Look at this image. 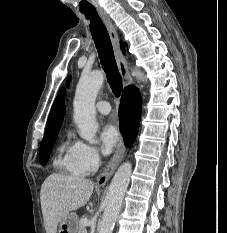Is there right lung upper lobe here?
<instances>
[{
  "label": "right lung upper lobe",
  "mask_w": 227,
  "mask_h": 233,
  "mask_svg": "<svg viewBox=\"0 0 227 233\" xmlns=\"http://www.w3.org/2000/svg\"><path fill=\"white\" fill-rule=\"evenodd\" d=\"M64 93V88H61L52 105L43 140L51 138L59 132L65 113Z\"/></svg>",
  "instance_id": "1"
}]
</instances>
